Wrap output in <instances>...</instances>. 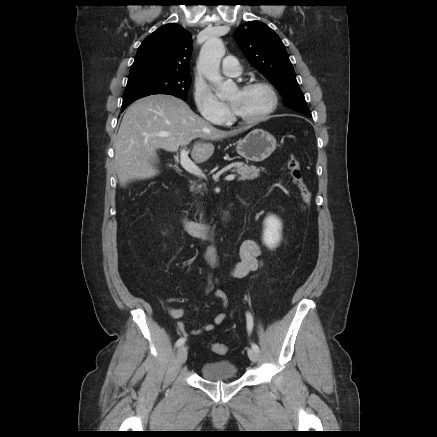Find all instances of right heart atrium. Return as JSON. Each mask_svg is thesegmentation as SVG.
I'll use <instances>...</instances> for the list:
<instances>
[{
    "label": "right heart atrium",
    "instance_id": "d8ad5b80",
    "mask_svg": "<svg viewBox=\"0 0 437 437\" xmlns=\"http://www.w3.org/2000/svg\"><path fill=\"white\" fill-rule=\"evenodd\" d=\"M193 97L197 110L204 119L221 123L227 118L229 111L226 104L215 97L206 86L196 84Z\"/></svg>",
    "mask_w": 437,
    "mask_h": 437
}]
</instances>
